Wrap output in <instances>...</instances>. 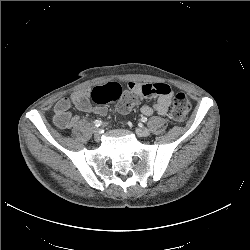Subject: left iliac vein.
<instances>
[{"label":"left iliac vein","mask_w":250,"mask_h":250,"mask_svg":"<svg viewBox=\"0 0 250 250\" xmlns=\"http://www.w3.org/2000/svg\"><path fill=\"white\" fill-rule=\"evenodd\" d=\"M136 132L138 135H140L142 137H147L150 135V130L147 128H137Z\"/></svg>","instance_id":"left-iliac-vein-1"}]
</instances>
